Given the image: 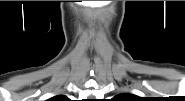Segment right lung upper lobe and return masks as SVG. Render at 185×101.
<instances>
[{
	"instance_id": "1",
	"label": "right lung upper lobe",
	"mask_w": 185,
	"mask_h": 101,
	"mask_svg": "<svg viewBox=\"0 0 185 101\" xmlns=\"http://www.w3.org/2000/svg\"><path fill=\"white\" fill-rule=\"evenodd\" d=\"M51 101H66L67 97L63 96V95H59V96H55L53 98L50 99Z\"/></svg>"
}]
</instances>
